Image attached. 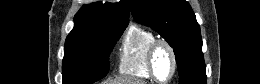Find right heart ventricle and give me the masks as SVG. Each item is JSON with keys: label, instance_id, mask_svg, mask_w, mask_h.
Wrapping results in <instances>:
<instances>
[{"label": "right heart ventricle", "instance_id": "e07e8e85", "mask_svg": "<svg viewBox=\"0 0 260 84\" xmlns=\"http://www.w3.org/2000/svg\"><path fill=\"white\" fill-rule=\"evenodd\" d=\"M156 36L150 30L132 24L121 43L118 71L120 74L136 78L152 79L148 70V49Z\"/></svg>", "mask_w": 260, "mask_h": 84}]
</instances>
